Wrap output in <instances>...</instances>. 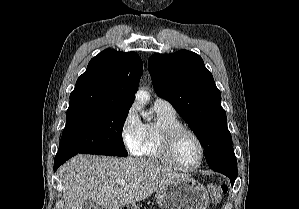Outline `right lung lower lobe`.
<instances>
[{"instance_id": "obj_1", "label": "right lung lower lobe", "mask_w": 299, "mask_h": 209, "mask_svg": "<svg viewBox=\"0 0 299 209\" xmlns=\"http://www.w3.org/2000/svg\"><path fill=\"white\" fill-rule=\"evenodd\" d=\"M78 153L76 152H58L54 159V171L58 169V167L63 164L66 160L70 159L74 155Z\"/></svg>"}]
</instances>
